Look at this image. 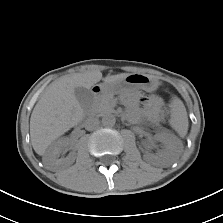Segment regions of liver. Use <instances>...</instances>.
Listing matches in <instances>:
<instances>
[{
	"label": "liver",
	"mask_w": 223,
	"mask_h": 223,
	"mask_svg": "<svg viewBox=\"0 0 223 223\" xmlns=\"http://www.w3.org/2000/svg\"><path fill=\"white\" fill-rule=\"evenodd\" d=\"M128 75H108L104 81L114 82ZM101 79L100 71H91L66 75L49 85L30 118L31 143L38 155H44L54 140L82 121L83 109L75 97V88L90 89Z\"/></svg>",
	"instance_id": "6515ba94"
}]
</instances>
